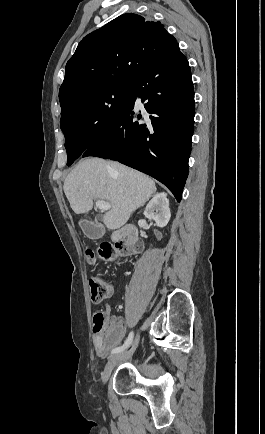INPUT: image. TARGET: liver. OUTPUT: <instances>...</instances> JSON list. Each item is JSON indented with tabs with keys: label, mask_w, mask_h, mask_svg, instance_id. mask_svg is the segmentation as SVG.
Segmentation results:
<instances>
[{
	"label": "liver",
	"mask_w": 265,
	"mask_h": 434,
	"mask_svg": "<svg viewBox=\"0 0 265 434\" xmlns=\"http://www.w3.org/2000/svg\"><path fill=\"white\" fill-rule=\"evenodd\" d=\"M63 190L75 214H87L93 200H108L111 210L102 220L108 230H118L150 200L156 186L149 176L118 162L84 158L65 178Z\"/></svg>",
	"instance_id": "1"
}]
</instances>
